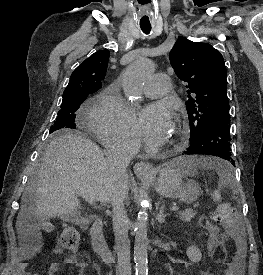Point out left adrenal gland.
Instances as JSON below:
<instances>
[{
    "label": "left adrenal gland",
    "instance_id": "obj_1",
    "mask_svg": "<svg viewBox=\"0 0 263 275\" xmlns=\"http://www.w3.org/2000/svg\"><path fill=\"white\" fill-rule=\"evenodd\" d=\"M164 208H165V205L163 204L160 209H159V213L157 214L156 216V220L160 223V224H163L165 222V217L168 215V214H164Z\"/></svg>",
    "mask_w": 263,
    "mask_h": 275
}]
</instances>
